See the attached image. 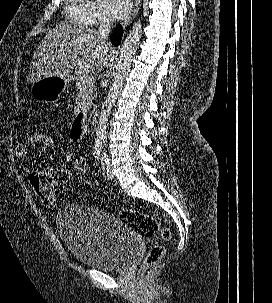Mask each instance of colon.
<instances>
[{
  "label": "colon",
  "mask_w": 272,
  "mask_h": 303,
  "mask_svg": "<svg viewBox=\"0 0 272 303\" xmlns=\"http://www.w3.org/2000/svg\"><path fill=\"white\" fill-rule=\"evenodd\" d=\"M36 135L37 146H40L47 151L55 150L57 141L50 132H40ZM74 167L80 174H86V159L82 156L76 157L74 160ZM37 195L45 206L54 207L56 205V196L54 193L41 192ZM117 215L122 223L132 228L142 238L151 239L160 236L164 241H168L171 237L169 229L163 227L155 217L149 214L125 209L118 211ZM164 254V245L155 244L151 246L140 268V274H145L151 267L156 265L162 259Z\"/></svg>",
  "instance_id": "5ec220e1"
}]
</instances>
